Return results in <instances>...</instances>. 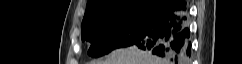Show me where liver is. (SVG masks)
I'll return each instance as SVG.
<instances>
[{
    "label": "liver",
    "mask_w": 242,
    "mask_h": 64,
    "mask_svg": "<svg viewBox=\"0 0 242 64\" xmlns=\"http://www.w3.org/2000/svg\"><path fill=\"white\" fill-rule=\"evenodd\" d=\"M164 60L136 47L117 49L106 59H98L90 64H164Z\"/></svg>",
    "instance_id": "1"
}]
</instances>
